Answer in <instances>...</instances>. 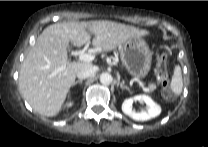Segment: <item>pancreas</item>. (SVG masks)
Here are the masks:
<instances>
[{
    "instance_id": "pancreas-1",
    "label": "pancreas",
    "mask_w": 208,
    "mask_h": 147,
    "mask_svg": "<svg viewBox=\"0 0 208 147\" xmlns=\"http://www.w3.org/2000/svg\"><path fill=\"white\" fill-rule=\"evenodd\" d=\"M156 87H155V85H151L148 89L149 90H154Z\"/></svg>"
}]
</instances>
